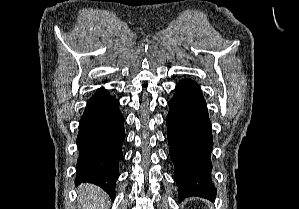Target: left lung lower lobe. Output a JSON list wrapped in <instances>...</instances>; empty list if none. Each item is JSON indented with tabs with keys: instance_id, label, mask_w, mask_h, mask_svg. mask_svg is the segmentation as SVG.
<instances>
[{
	"instance_id": "left-lung-lower-lobe-1",
	"label": "left lung lower lobe",
	"mask_w": 299,
	"mask_h": 209,
	"mask_svg": "<svg viewBox=\"0 0 299 209\" xmlns=\"http://www.w3.org/2000/svg\"><path fill=\"white\" fill-rule=\"evenodd\" d=\"M169 107L167 137L179 200L190 196L214 199L216 189L210 180L211 121L198 84L190 79L179 82Z\"/></svg>"
}]
</instances>
